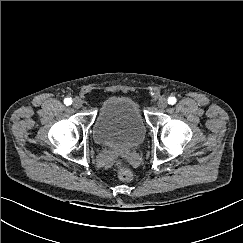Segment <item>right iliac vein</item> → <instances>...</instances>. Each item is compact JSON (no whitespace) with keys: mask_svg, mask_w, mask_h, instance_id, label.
<instances>
[{"mask_svg":"<svg viewBox=\"0 0 243 243\" xmlns=\"http://www.w3.org/2000/svg\"><path fill=\"white\" fill-rule=\"evenodd\" d=\"M82 104H83V102L80 98H78V97L74 98V100H73V107L74 108H76V109L81 108Z\"/></svg>","mask_w":243,"mask_h":243,"instance_id":"1","label":"right iliac vein"}]
</instances>
